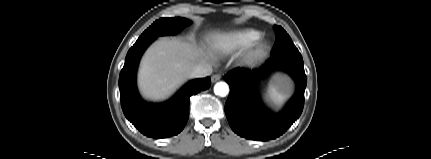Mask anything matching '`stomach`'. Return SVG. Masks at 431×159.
<instances>
[{"instance_id": "0dacf381", "label": "stomach", "mask_w": 431, "mask_h": 159, "mask_svg": "<svg viewBox=\"0 0 431 159\" xmlns=\"http://www.w3.org/2000/svg\"><path fill=\"white\" fill-rule=\"evenodd\" d=\"M272 87L281 95H287L292 91L290 81L284 77H275L272 82Z\"/></svg>"}]
</instances>
